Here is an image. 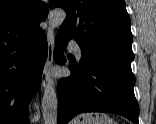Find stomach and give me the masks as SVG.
<instances>
[{
    "instance_id": "0dacf381",
    "label": "stomach",
    "mask_w": 156,
    "mask_h": 124,
    "mask_svg": "<svg viewBox=\"0 0 156 124\" xmlns=\"http://www.w3.org/2000/svg\"><path fill=\"white\" fill-rule=\"evenodd\" d=\"M71 124H116L105 114L81 115L74 119Z\"/></svg>"
}]
</instances>
